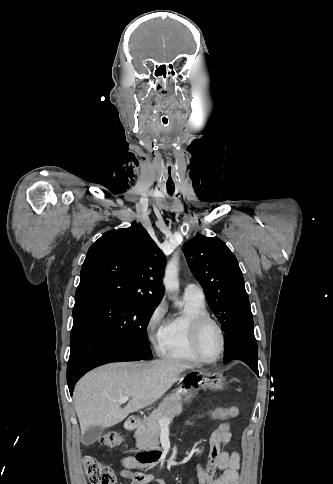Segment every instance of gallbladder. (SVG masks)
Segmentation results:
<instances>
[{
	"label": "gallbladder",
	"mask_w": 333,
	"mask_h": 484,
	"mask_svg": "<svg viewBox=\"0 0 333 484\" xmlns=\"http://www.w3.org/2000/svg\"><path fill=\"white\" fill-rule=\"evenodd\" d=\"M104 427L103 426H93L90 427L82 436L81 441L85 444L94 443L100 435L103 433Z\"/></svg>",
	"instance_id": "obj_1"
}]
</instances>
